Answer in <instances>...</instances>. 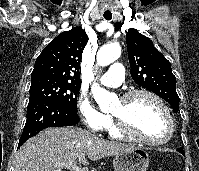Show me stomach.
Wrapping results in <instances>:
<instances>
[{"label":"stomach","mask_w":199,"mask_h":171,"mask_svg":"<svg viewBox=\"0 0 199 171\" xmlns=\"http://www.w3.org/2000/svg\"><path fill=\"white\" fill-rule=\"evenodd\" d=\"M148 165L149 154L140 148L116 154L113 159L115 171H146Z\"/></svg>","instance_id":"stomach-1"}]
</instances>
